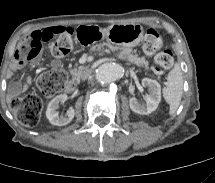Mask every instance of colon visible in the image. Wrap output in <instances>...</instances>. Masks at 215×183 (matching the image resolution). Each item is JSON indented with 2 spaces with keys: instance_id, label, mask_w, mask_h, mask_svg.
<instances>
[{
  "instance_id": "5ec220e1",
  "label": "colon",
  "mask_w": 215,
  "mask_h": 183,
  "mask_svg": "<svg viewBox=\"0 0 215 183\" xmlns=\"http://www.w3.org/2000/svg\"><path fill=\"white\" fill-rule=\"evenodd\" d=\"M73 32L69 30L61 31L52 38L55 41L52 46V54L56 57H65L73 47ZM46 36L47 41L51 40ZM42 42L35 39L32 42H25L20 56L33 58L40 52ZM143 50L149 56H154L153 70L156 73H162L170 69L174 62L173 54L170 50L163 49V41L160 34L155 29H147L143 38ZM66 82V75L60 70L43 73L37 81L38 88L46 96H52L61 91ZM12 110L17 120L24 126H35L40 119L42 112V101L34 95L29 94L21 98H16L11 103Z\"/></svg>"
}]
</instances>
